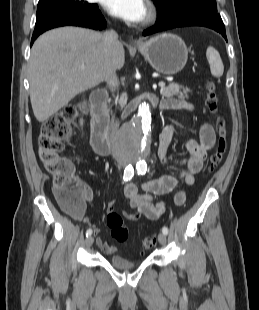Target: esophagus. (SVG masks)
I'll return each mask as SVG.
<instances>
[{
	"instance_id": "obj_1",
	"label": "esophagus",
	"mask_w": 259,
	"mask_h": 310,
	"mask_svg": "<svg viewBox=\"0 0 259 310\" xmlns=\"http://www.w3.org/2000/svg\"><path fill=\"white\" fill-rule=\"evenodd\" d=\"M133 43H134V44H137L138 42L135 40V41H133Z\"/></svg>"
}]
</instances>
